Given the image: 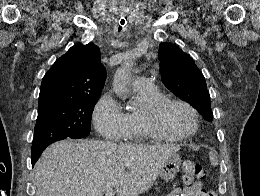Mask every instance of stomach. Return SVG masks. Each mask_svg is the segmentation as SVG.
Listing matches in <instances>:
<instances>
[{
    "instance_id": "stomach-1",
    "label": "stomach",
    "mask_w": 260,
    "mask_h": 196,
    "mask_svg": "<svg viewBox=\"0 0 260 196\" xmlns=\"http://www.w3.org/2000/svg\"><path fill=\"white\" fill-rule=\"evenodd\" d=\"M180 164V156H178V154H173L171 158H168V160L164 162L163 168H161L159 172L160 178H162V180H165V182H172L177 172H179Z\"/></svg>"
}]
</instances>
